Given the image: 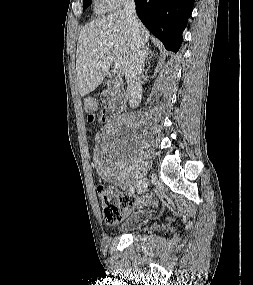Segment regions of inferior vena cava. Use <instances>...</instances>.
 Returning a JSON list of instances; mask_svg holds the SVG:
<instances>
[{
    "instance_id": "602c4592",
    "label": "inferior vena cava",
    "mask_w": 253,
    "mask_h": 285,
    "mask_svg": "<svg viewBox=\"0 0 253 285\" xmlns=\"http://www.w3.org/2000/svg\"><path fill=\"white\" fill-rule=\"evenodd\" d=\"M123 12L131 25V31L134 39L129 61L126 68L127 91L129 93V105L135 108L139 105L142 98L141 75L144 70V60L146 48L142 34V23L136 14V5L134 0H126Z\"/></svg>"
}]
</instances>
